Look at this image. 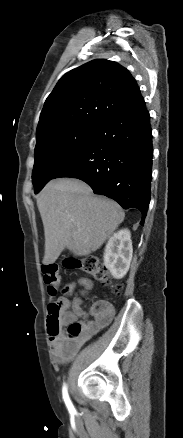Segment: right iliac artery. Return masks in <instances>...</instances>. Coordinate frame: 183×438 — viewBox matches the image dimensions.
Returning a JSON list of instances; mask_svg holds the SVG:
<instances>
[{"label": "right iliac artery", "mask_w": 183, "mask_h": 438, "mask_svg": "<svg viewBox=\"0 0 183 438\" xmlns=\"http://www.w3.org/2000/svg\"><path fill=\"white\" fill-rule=\"evenodd\" d=\"M62 395H63V399H64V402H65L68 410L70 412L74 411V406H73V404H72V402H71V400L69 398L68 391H67V386L66 385L63 386Z\"/></svg>", "instance_id": "1"}]
</instances>
